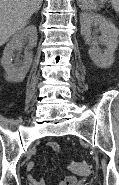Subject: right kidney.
Segmentation results:
<instances>
[{
	"label": "right kidney",
	"mask_w": 119,
	"mask_h": 185,
	"mask_svg": "<svg viewBox=\"0 0 119 185\" xmlns=\"http://www.w3.org/2000/svg\"><path fill=\"white\" fill-rule=\"evenodd\" d=\"M26 40L30 47L37 45V29L34 25H29L14 34L4 49L1 65L6 72L5 78L9 82H22L32 64L33 53L28 50L25 51L23 61L16 60L13 63L14 52L21 51Z\"/></svg>",
	"instance_id": "1"
}]
</instances>
